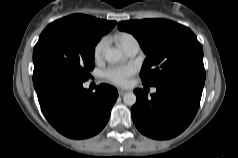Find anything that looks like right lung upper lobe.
Here are the masks:
<instances>
[{
    "mask_svg": "<svg viewBox=\"0 0 238 158\" xmlns=\"http://www.w3.org/2000/svg\"><path fill=\"white\" fill-rule=\"evenodd\" d=\"M58 21L77 23L83 25L84 27L92 30L97 34H100L101 36L108 33L116 24L115 21L96 19L92 16H87L83 14L70 15L62 19H59Z\"/></svg>",
    "mask_w": 238,
    "mask_h": 158,
    "instance_id": "1",
    "label": "right lung upper lobe"
}]
</instances>
